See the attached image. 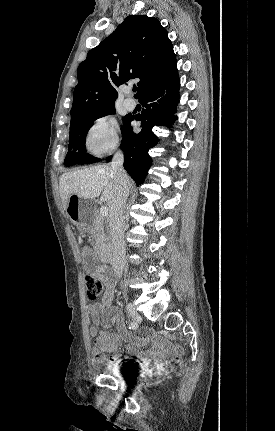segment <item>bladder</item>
<instances>
[{"label": "bladder", "instance_id": "bladder-1", "mask_svg": "<svg viewBox=\"0 0 275 431\" xmlns=\"http://www.w3.org/2000/svg\"><path fill=\"white\" fill-rule=\"evenodd\" d=\"M132 365L133 363H131L130 366H128L126 361L120 360L118 362L105 364L104 370L112 377H114L116 380L121 381L127 378L129 373L128 367H133Z\"/></svg>", "mask_w": 275, "mask_h": 431}]
</instances>
